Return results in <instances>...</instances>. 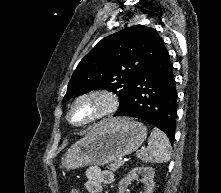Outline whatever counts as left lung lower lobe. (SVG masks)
Wrapping results in <instances>:
<instances>
[{"label": "left lung lower lobe", "instance_id": "left-lung-lower-lobe-1", "mask_svg": "<svg viewBox=\"0 0 221 193\" xmlns=\"http://www.w3.org/2000/svg\"><path fill=\"white\" fill-rule=\"evenodd\" d=\"M177 90L169 53L165 50L133 81L115 116H130L162 130L173 143Z\"/></svg>", "mask_w": 221, "mask_h": 193}]
</instances>
